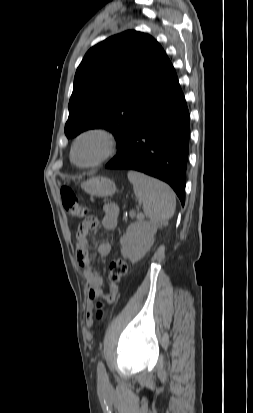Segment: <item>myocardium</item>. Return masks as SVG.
Returning a JSON list of instances; mask_svg holds the SVG:
<instances>
[{
  "label": "myocardium",
  "mask_w": 253,
  "mask_h": 413,
  "mask_svg": "<svg viewBox=\"0 0 253 413\" xmlns=\"http://www.w3.org/2000/svg\"><path fill=\"white\" fill-rule=\"evenodd\" d=\"M86 137L99 138L103 143V149L100 155L94 161L90 163L82 164V163H79L75 159V151H76V147L78 143ZM116 150H117V141H116L114 134L110 130L104 127H92V128L83 130L74 138L72 142L71 150H70V158H71V161L78 167L91 168V167L98 166L104 163L105 161H107L108 159H110L115 154Z\"/></svg>",
  "instance_id": "obj_1"
}]
</instances>
